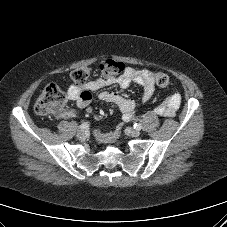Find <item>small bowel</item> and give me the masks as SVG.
<instances>
[{"mask_svg":"<svg viewBox=\"0 0 227 227\" xmlns=\"http://www.w3.org/2000/svg\"><path fill=\"white\" fill-rule=\"evenodd\" d=\"M137 84L143 89V102H149L155 93V82L152 72L148 70H138L127 68L121 75L113 78L99 77L87 82L83 87L70 85L67 90L68 97L75 101L79 108H86L92 100V93L97 92L100 100L115 105L123 114L126 121L134 118L137 107L133 99H127L117 93L102 90L111 85H118L121 88H128L131 84ZM181 103V96L178 93L172 94L161 104L155 107L154 112L165 117H172L176 114ZM76 115L75 111L67 110L63 117L72 118ZM118 131L110 133H97L96 137L104 143H113L118 138Z\"/></svg>","mask_w":227,"mask_h":227,"instance_id":"obj_1","label":"small bowel"}]
</instances>
